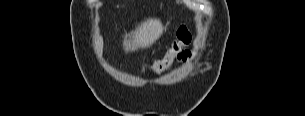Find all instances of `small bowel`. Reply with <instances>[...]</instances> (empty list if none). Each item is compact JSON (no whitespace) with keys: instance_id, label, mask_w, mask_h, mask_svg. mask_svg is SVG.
Returning <instances> with one entry per match:
<instances>
[{"instance_id":"obj_1","label":"small bowel","mask_w":305,"mask_h":116,"mask_svg":"<svg viewBox=\"0 0 305 116\" xmlns=\"http://www.w3.org/2000/svg\"><path fill=\"white\" fill-rule=\"evenodd\" d=\"M190 57H191V53L189 51H185L184 55L182 57H180L179 60L186 61Z\"/></svg>"}]
</instances>
